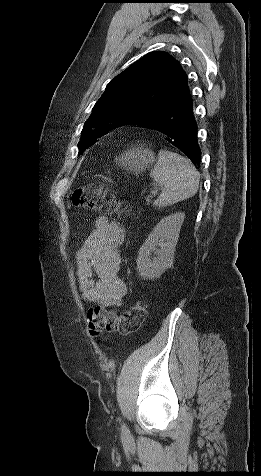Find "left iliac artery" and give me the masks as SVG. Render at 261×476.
<instances>
[{
	"label": "left iliac artery",
	"instance_id": "1",
	"mask_svg": "<svg viewBox=\"0 0 261 476\" xmlns=\"http://www.w3.org/2000/svg\"><path fill=\"white\" fill-rule=\"evenodd\" d=\"M122 430L125 431V432H128V429L125 425L122 426Z\"/></svg>",
	"mask_w": 261,
	"mask_h": 476
}]
</instances>
